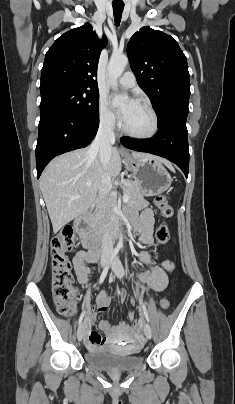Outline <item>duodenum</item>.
I'll return each mask as SVG.
<instances>
[{
  "mask_svg": "<svg viewBox=\"0 0 235 404\" xmlns=\"http://www.w3.org/2000/svg\"><path fill=\"white\" fill-rule=\"evenodd\" d=\"M93 211L90 210L78 217L75 221V226L82 236L84 243L87 244L88 249L92 252V261H96L99 258V253L102 247V237L94 232L92 227ZM118 238V233H115L110 239L114 240Z\"/></svg>",
  "mask_w": 235,
  "mask_h": 404,
  "instance_id": "duodenum-1",
  "label": "duodenum"
}]
</instances>
